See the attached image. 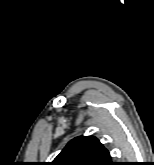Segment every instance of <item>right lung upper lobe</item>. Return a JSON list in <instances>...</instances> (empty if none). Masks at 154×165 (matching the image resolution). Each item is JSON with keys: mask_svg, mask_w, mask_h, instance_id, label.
I'll list each match as a JSON object with an SVG mask.
<instances>
[{"mask_svg": "<svg viewBox=\"0 0 154 165\" xmlns=\"http://www.w3.org/2000/svg\"><path fill=\"white\" fill-rule=\"evenodd\" d=\"M52 163L53 165H113L108 150L93 136L74 138Z\"/></svg>", "mask_w": 154, "mask_h": 165, "instance_id": "right-lung-upper-lobe-1", "label": "right lung upper lobe"}]
</instances>
